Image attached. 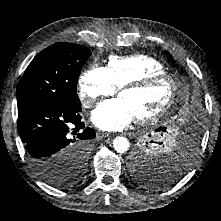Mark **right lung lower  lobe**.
I'll use <instances>...</instances> for the list:
<instances>
[{
  "label": "right lung lower lobe",
  "mask_w": 221,
  "mask_h": 221,
  "mask_svg": "<svg viewBox=\"0 0 221 221\" xmlns=\"http://www.w3.org/2000/svg\"><path fill=\"white\" fill-rule=\"evenodd\" d=\"M80 111L81 106L43 100L18 108V131L37 174L61 165L73 147L95 137V131L81 121Z\"/></svg>",
  "instance_id": "1"
}]
</instances>
